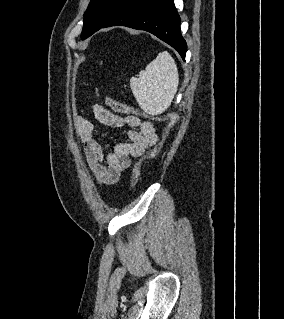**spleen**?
<instances>
[{
  "mask_svg": "<svg viewBox=\"0 0 284 319\" xmlns=\"http://www.w3.org/2000/svg\"><path fill=\"white\" fill-rule=\"evenodd\" d=\"M179 83L174 59L163 51L139 72L131 77L130 87L141 109L150 114L163 113L171 105Z\"/></svg>",
  "mask_w": 284,
  "mask_h": 319,
  "instance_id": "spleen-1",
  "label": "spleen"
}]
</instances>
